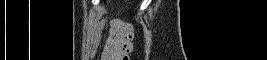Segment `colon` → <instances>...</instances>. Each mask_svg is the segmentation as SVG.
I'll use <instances>...</instances> for the list:
<instances>
[{
    "mask_svg": "<svg viewBox=\"0 0 267 60\" xmlns=\"http://www.w3.org/2000/svg\"><path fill=\"white\" fill-rule=\"evenodd\" d=\"M116 27L112 30L102 47L103 60H129L132 47L134 26L131 22L115 19Z\"/></svg>",
    "mask_w": 267,
    "mask_h": 60,
    "instance_id": "obj_1",
    "label": "colon"
}]
</instances>
